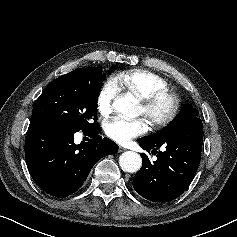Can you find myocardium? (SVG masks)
<instances>
[{
	"label": "myocardium",
	"instance_id": "obj_1",
	"mask_svg": "<svg viewBox=\"0 0 237 237\" xmlns=\"http://www.w3.org/2000/svg\"><path fill=\"white\" fill-rule=\"evenodd\" d=\"M140 100L143 115L154 129L169 124L177 116L180 109L179 97L169 91L157 92Z\"/></svg>",
	"mask_w": 237,
	"mask_h": 237
}]
</instances>
